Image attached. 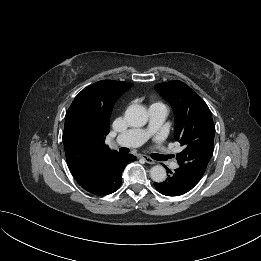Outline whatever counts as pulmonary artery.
<instances>
[{
  "instance_id": "e3ab8cb5",
  "label": "pulmonary artery",
  "mask_w": 261,
  "mask_h": 261,
  "mask_svg": "<svg viewBox=\"0 0 261 261\" xmlns=\"http://www.w3.org/2000/svg\"><path fill=\"white\" fill-rule=\"evenodd\" d=\"M150 119L148 128L145 130H129L117 136L114 143L124 147H138L154 133L164 122L167 116L165 106H153L149 109ZM175 167V164H173Z\"/></svg>"
}]
</instances>
